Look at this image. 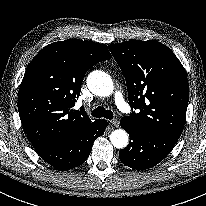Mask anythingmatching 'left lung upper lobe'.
I'll return each mask as SVG.
<instances>
[{
    "instance_id": "5c2ea615",
    "label": "left lung upper lobe",
    "mask_w": 206,
    "mask_h": 206,
    "mask_svg": "<svg viewBox=\"0 0 206 206\" xmlns=\"http://www.w3.org/2000/svg\"><path fill=\"white\" fill-rule=\"evenodd\" d=\"M137 110L123 119L152 133L179 139L189 97L186 72L175 54L157 41L130 40L109 45Z\"/></svg>"
}]
</instances>
